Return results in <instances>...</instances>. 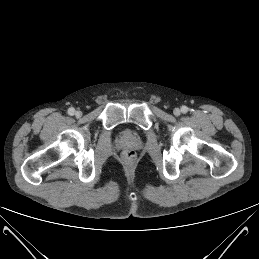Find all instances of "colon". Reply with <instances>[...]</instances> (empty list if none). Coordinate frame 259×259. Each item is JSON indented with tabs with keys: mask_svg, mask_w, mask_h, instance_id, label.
<instances>
[{
	"mask_svg": "<svg viewBox=\"0 0 259 259\" xmlns=\"http://www.w3.org/2000/svg\"><path fill=\"white\" fill-rule=\"evenodd\" d=\"M135 156V153L133 151H125L124 152V157L127 160H132Z\"/></svg>",
	"mask_w": 259,
	"mask_h": 259,
	"instance_id": "5ec220e1",
	"label": "colon"
}]
</instances>
